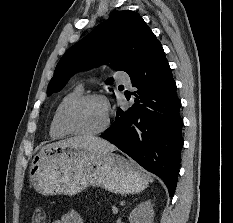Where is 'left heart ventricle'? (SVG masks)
Wrapping results in <instances>:
<instances>
[{
  "instance_id": "left-heart-ventricle-1",
  "label": "left heart ventricle",
  "mask_w": 233,
  "mask_h": 223,
  "mask_svg": "<svg viewBox=\"0 0 233 223\" xmlns=\"http://www.w3.org/2000/svg\"><path fill=\"white\" fill-rule=\"evenodd\" d=\"M106 119L104 101L96 99L79 105L72 113L71 123L79 131L95 132L105 124Z\"/></svg>"
}]
</instances>
